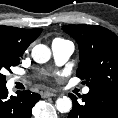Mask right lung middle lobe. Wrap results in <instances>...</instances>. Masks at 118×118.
I'll return each mask as SVG.
<instances>
[{
    "instance_id": "dd1d6c3e",
    "label": "right lung middle lobe",
    "mask_w": 118,
    "mask_h": 118,
    "mask_svg": "<svg viewBox=\"0 0 118 118\" xmlns=\"http://www.w3.org/2000/svg\"><path fill=\"white\" fill-rule=\"evenodd\" d=\"M20 56L6 46L0 45V87L6 85V76L3 74L5 70L11 72L10 68L19 64Z\"/></svg>"
}]
</instances>
